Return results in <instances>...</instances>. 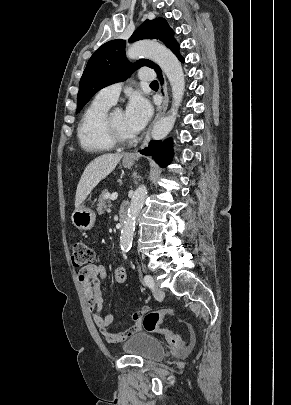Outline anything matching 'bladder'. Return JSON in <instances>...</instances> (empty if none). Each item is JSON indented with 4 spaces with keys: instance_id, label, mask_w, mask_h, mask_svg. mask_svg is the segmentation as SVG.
Segmentation results:
<instances>
[{
    "instance_id": "1",
    "label": "bladder",
    "mask_w": 291,
    "mask_h": 405,
    "mask_svg": "<svg viewBox=\"0 0 291 405\" xmlns=\"http://www.w3.org/2000/svg\"><path fill=\"white\" fill-rule=\"evenodd\" d=\"M122 349L125 353L138 356L145 361H159L166 354L163 343L146 332H138L132 335L124 342Z\"/></svg>"
}]
</instances>
